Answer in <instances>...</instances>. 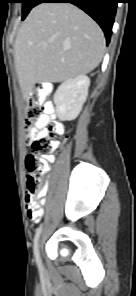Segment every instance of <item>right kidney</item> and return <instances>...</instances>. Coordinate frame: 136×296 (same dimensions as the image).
<instances>
[{"mask_svg":"<svg viewBox=\"0 0 136 296\" xmlns=\"http://www.w3.org/2000/svg\"><path fill=\"white\" fill-rule=\"evenodd\" d=\"M90 79L79 75L64 81L54 95L55 110L62 121L75 119L86 101Z\"/></svg>","mask_w":136,"mask_h":296,"instance_id":"ca27d5eb","label":"right kidney"}]
</instances>
